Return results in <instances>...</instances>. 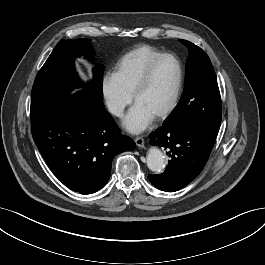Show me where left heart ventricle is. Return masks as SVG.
I'll return each instance as SVG.
<instances>
[{
    "label": "left heart ventricle",
    "instance_id": "1",
    "mask_svg": "<svg viewBox=\"0 0 265 265\" xmlns=\"http://www.w3.org/2000/svg\"><path fill=\"white\" fill-rule=\"evenodd\" d=\"M177 66L173 59L165 58L155 67L146 88L136 97L135 104L154 117L171 101L177 83Z\"/></svg>",
    "mask_w": 265,
    "mask_h": 265
}]
</instances>
